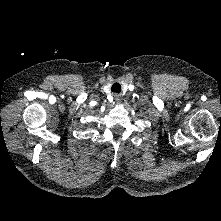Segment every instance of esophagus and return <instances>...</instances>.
Returning <instances> with one entry per match:
<instances>
[{"instance_id": "obj_1", "label": "esophagus", "mask_w": 221, "mask_h": 221, "mask_svg": "<svg viewBox=\"0 0 221 221\" xmlns=\"http://www.w3.org/2000/svg\"><path fill=\"white\" fill-rule=\"evenodd\" d=\"M116 100H119V95H114Z\"/></svg>"}]
</instances>
